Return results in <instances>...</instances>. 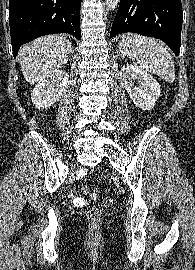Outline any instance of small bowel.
Segmentation results:
<instances>
[{"label":"small bowel","instance_id":"small-bowel-1","mask_svg":"<svg viewBox=\"0 0 195 270\" xmlns=\"http://www.w3.org/2000/svg\"><path fill=\"white\" fill-rule=\"evenodd\" d=\"M85 173H86V170L85 169H83V170L80 171V174L81 175H83ZM94 196H95V194H94ZM70 199H71L72 203L75 206H77V207H82L85 204L84 199L81 198V197H79V196H77L74 191H71L70 192Z\"/></svg>","mask_w":195,"mask_h":270}]
</instances>
